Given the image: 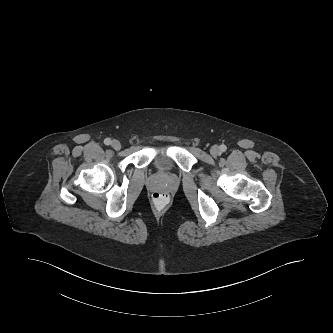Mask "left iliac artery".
Instances as JSON below:
<instances>
[{"label": "left iliac artery", "mask_w": 333, "mask_h": 333, "mask_svg": "<svg viewBox=\"0 0 333 333\" xmlns=\"http://www.w3.org/2000/svg\"><path fill=\"white\" fill-rule=\"evenodd\" d=\"M220 150H221V152H225V151L227 150L226 145L222 144V145L220 146Z\"/></svg>", "instance_id": "1"}]
</instances>
